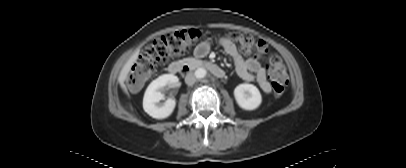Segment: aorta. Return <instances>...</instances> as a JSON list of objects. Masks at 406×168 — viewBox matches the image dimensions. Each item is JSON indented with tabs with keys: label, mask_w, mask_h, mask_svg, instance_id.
Listing matches in <instances>:
<instances>
[{
	"label": "aorta",
	"mask_w": 406,
	"mask_h": 168,
	"mask_svg": "<svg viewBox=\"0 0 406 168\" xmlns=\"http://www.w3.org/2000/svg\"><path fill=\"white\" fill-rule=\"evenodd\" d=\"M206 74H207V71H206V69H204V68H198V69L195 71V77H196L197 79H202V78H204V77L206 76Z\"/></svg>",
	"instance_id": "obj_1"
}]
</instances>
